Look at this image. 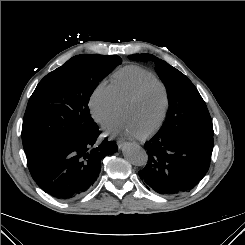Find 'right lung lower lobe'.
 <instances>
[{
    "instance_id": "right-lung-lower-lobe-1",
    "label": "right lung lower lobe",
    "mask_w": 245,
    "mask_h": 245,
    "mask_svg": "<svg viewBox=\"0 0 245 245\" xmlns=\"http://www.w3.org/2000/svg\"><path fill=\"white\" fill-rule=\"evenodd\" d=\"M98 126L82 137L66 138L27 155V165L36 184L58 199L85 194L101 169V159L117 151L115 142L97 141Z\"/></svg>"
}]
</instances>
